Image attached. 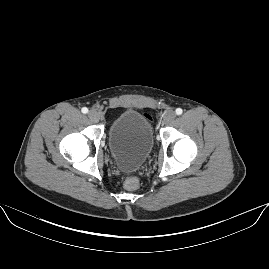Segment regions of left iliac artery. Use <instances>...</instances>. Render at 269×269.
Instances as JSON below:
<instances>
[{
    "instance_id": "left-iliac-artery-1",
    "label": "left iliac artery",
    "mask_w": 269,
    "mask_h": 269,
    "mask_svg": "<svg viewBox=\"0 0 269 269\" xmlns=\"http://www.w3.org/2000/svg\"><path fill=\"white\" fill-rule=\"evenodd\" d=\"M182 112H183V111H182V109H181V108H177V109H176V114H177V115H181V114H182Z\"/></svg>"
}]
</instances>
